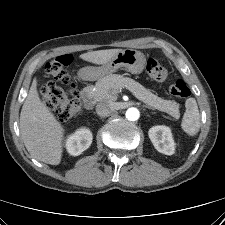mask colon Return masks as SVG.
Returning a JSON list of instances; mask_svg holds the SVG:
<instances>
[{
    "mask_svg": "<svg viewBox=\"0 0 225 225\" xmlns=\"http://www.w3.org/2000/svg\"><path fill=\"white\" fill-rule=\"evenodd\" d=\"M72 62L69 54L53 58L46 64L47 74L70 85L73 89L70 76L65 68ZM147 73L156 80H164L167 77L166 68L156 58H149L146 62ZM41 97L46 107L57 113L62 119L67 120L82 114V103L80 96L75 90L69 94L55 82H47L41 88ZM169 93L176 99L186 100L190 97L191 91L183 80H177L169 87Z\"/></svg>",
    "mask_w": 225,
    "mask_h": 225,
    "instance_id": "colon-1",
    "label": "colon"
}]
</instances>
